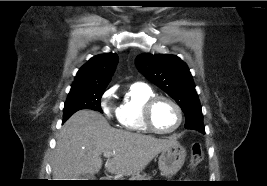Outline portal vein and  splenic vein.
<instances>
[{"mask_svg": "<svg viewBox=\"0 0 267 186\" xmlns=\"http://www.w3.org/2000/svg\"><path fill=\"white\" fill-rule=\"evenodd\" d=\"M114 153L113 152H104L103 153V156L106 157V158H109L113 155Z\"/></svg>", "mask_w": 267, "mask_h": 186, "instance_id": "portal-vein-and-splenic-vein-1", "label": "portal vein and splenic vein"}]
</instances>
